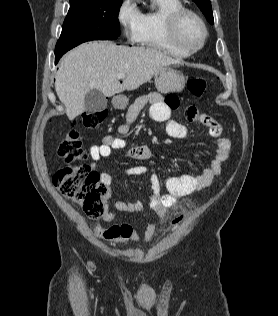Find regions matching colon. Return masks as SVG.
I'll return each mask as SVG.
<instances>
[{
    "label": "colon",
    "instance_id": "1",
    "mask_svg": "<svg viewBox=\"0 0 278 316\" xmlns=\"http://www.w3.org/2000/svg\"><path fill=\"white\" fill-rule=\"evenodd\" d=\"M207 87L204 78H191L187 82L189 92L201 97ZM106 112H90L82 115V123L86 128H96L105 120ZM58 155L67 164L59 169L53 182L59 192L75 201L90 218H99L105 212L107 187L101 182L100 175L89 166L78 164L87 157L80 135L76 129L69 130L58 146ZM174 221L179 218L175 217Z\"/></svg>",
    "mask_w": 278,
    "mask_h": 316
}]
</instances>
